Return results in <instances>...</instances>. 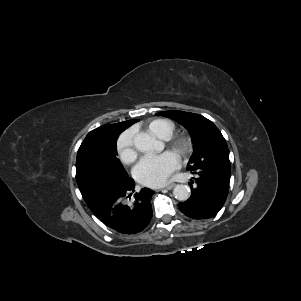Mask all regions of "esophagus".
Instances as JSON below:
<instances>
[{
	"label": "esophagus",
	"mask_w": 301,
	"mask_h": 301,
	"mask_svg": "<svg viewBox=\"0 0 301 301\" xmlns=\"http://www.w3.org/2000/svg\"><path fill=\"white\" fill-rule=\"evenodd\" d=\"M174 186H175V184L172 183V184H169V185H166V186L162 187V189H168V190H170V189H172Z\"/></svg>",
	"instance_id": "obj_1"
}]
</instances>
